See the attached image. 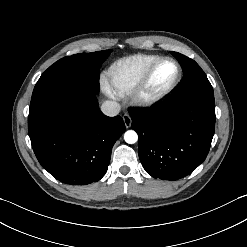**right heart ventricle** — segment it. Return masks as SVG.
Masks as SVG:
<instances>
[{"mask_svg":"<svg viewBox=\"0 0 247 247\" xmlns=\"http://www.w3.org/2000/svg\"><path fill=\"white\" fill-rule=\"evenodd\" d=\"M161 56L135 54L115 61L108 69L110 85L119 95L131 93L148 67Z\"/></svg>","mask_w":247,"mask_h":247,"instance_id":"right-heart-ventricle-1","label":"right heart ventricle"}]
</instances>
